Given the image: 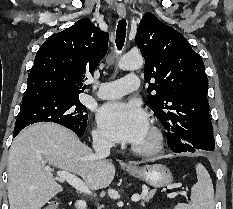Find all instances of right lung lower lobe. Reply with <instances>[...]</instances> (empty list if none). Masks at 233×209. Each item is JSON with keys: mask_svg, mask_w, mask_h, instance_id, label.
<instances>
[{"mask_svg": "<svg viewBox=\"0 0 233 209\" xmlns=\"http://www.w3.org/2000/svg\"><path fill=\"white\" fill-rule=\"evenodd\" d=\"M21 130L22 129H14L13 137H15ZM85 130H83V131H81V130H72V131H74L79 137H81L85 133Z\"/></svg>", "mask_w": 233, "mask_h": 209, "instance_id": "obj_1", "label": "right lung lower lobe"}]
</instances>
